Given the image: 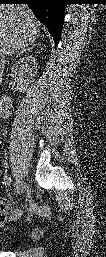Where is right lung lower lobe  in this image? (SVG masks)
Instances as JSON below:
<instances>
[{
    "label": "right lung lower lobe",
    "instance_id": "obj_1",
    "mask_svg": "<svg viewBox=\"0 0 106 257\" xmlns=\"http://www.w3.org/2000/svg\"><path fill=\"white\" fill-rule=\"evenodd\" d=\"M1 4H27L42 22L58 45L65 12L66 0H0Z\"/></svg>",
    "mask_w": 106,
    "mask_h": 257
}]
</instances>
